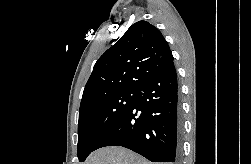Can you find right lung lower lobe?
I'll return each instance as SVG.
<instances>
[{
	"mask_svg": "<svg viewBox=\"0 0 251 164\" xmlns=\"http://www.w3.org/2000/svg\"><path fill=\"white\" fill-rule=\"evenodd\" d=\"M181 133L177 75L172 64L139 86L132 107L103 136L96 149L122 146L151 162H178Z\"/></svg>",
	"mask_w": 251,
	"mask_h": 164,
	"instance_id": "98d812e1",
	"label": "right lung lower lobe"
}]
</instances>
